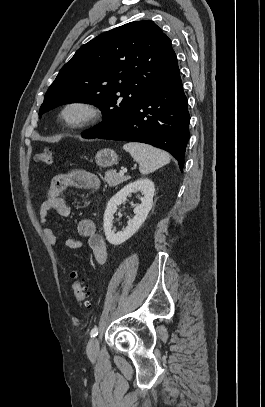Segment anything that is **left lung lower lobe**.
<instances>
[{
    "label": "left lung lower lobe",
    "mask_w": 265,
    "mask_h": 407,
    "mask_svg": "<svg viewBox=\"0 0 265 407\" xmlns=\"http://www.w3.org/2000/svg\"><path fill=\"white\" fill-rule=\"evenodd\" d=\"M187 103L178 71L152 88L123 121L96 137L141 142L161 148L171 153L183 170L189 140Z\"/></svg>",
    "instance_id": "obj_1"
}]
</instances>
